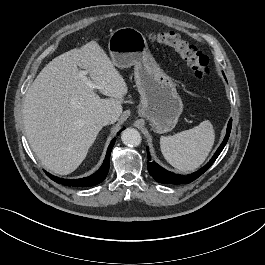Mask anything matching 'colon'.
I'll list each match as a JSON object with an SVG mask.
<instances>
[{
	"instance_id": "colon-1",
	"label": "colon",
	"mask_w": 265,
	"mask_h": 265,
	"mask_svg": "<svg viewBox=\"0 0 265 265\" xmlns=\"http://www.w3.org/2000/svg\"><path fill=\"white\" fill-rule=\"evenodd\" d=\"M149 38L151 41L173 48L190 67L197 80L202 83L209 81L211 71L207 56L182 40L178 34L173 31H160L151 33Z\"/></svg>"
}]
</instances>
